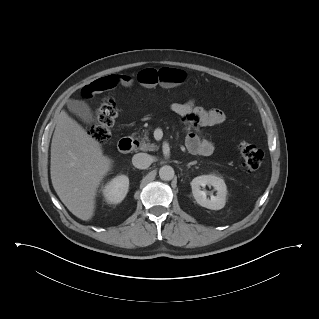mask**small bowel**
I'll return each instance as SVG.
<instances>
[{
  "instance_id": "small-bowel-1",
  "label": "small bowel",
  "mask_w": 319,
  "mask_h": 319,
  "mask_svg": "<svg viewBox=\"0 0 319 319\" xmlns=\"http://www.w3.org/2000/svg\"><path fill=\"white\" fill-rule=\"evenodd\" d=\"M185 73L182 70L171 68H147L138 74V82L147 88L157 85L163 87H174L185 81ZM133 78L128 75H108L99 78L82 89V95L89 98L94 93H100L112 89L118 85L130 87L133 85ZM171 110L179 115L187 129L191 127L199 129L202 127L220 125L226 116L220 109H205L199 106L195 100L183 103H173ZM185 145L189 152L200 156H210L214 152V145L211 141L201 138L195 131H188Z\"/></svg>"
}]
</instances>
